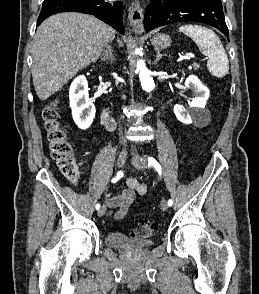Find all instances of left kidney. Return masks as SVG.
Listing matches in <instances>:
<instances>
[{"mask_svg": "<svg viewBox=\"0 0 259 294\" xmlns=\"http://www.w3.org/2000/svg\"><path fill=\"white\" fill-rule=\"evenodd\" d=\"M185 88L191 89L195 97L190 102L189 110H185L180 104L174 106V114L177 119L184 124L195 123L199 125V120L204 113L206 102L209 98V90L195 75H190L185 81Z\"/></svg>", "mask_w": 259, "mask_h": 294, "instance_id": "1", "label": "left kidney"}]
</instances>
